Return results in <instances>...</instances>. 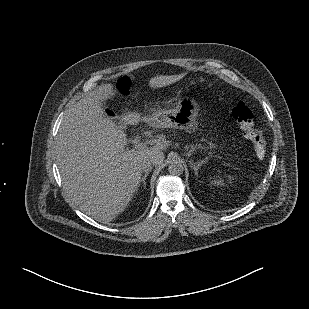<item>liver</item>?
Returning <instances> with one entry per match:
<instances>
[{
	"instance_id": "1",
	"label": "liver",
	"mask_w": 309,
	"mask_h": 309,
	"mask_svg": "<svg viewBox=\"0 0 309 309\" xmlns=\"http://www.w3.org/2000/svg\"><path fill=\"white\" fill-rule=\"evenodd\" d=\"M114 95L111 84H103L66 110L59 128L56 156L66 193L86 215L109 222L125 210L142 179V165L164 160L168 142L154 141L153 147L125 150V125L140 120L162 127L154 113L141 119L135 112L116 125L105 114L103 102Z\"/></svg>"
}]
</instances>
